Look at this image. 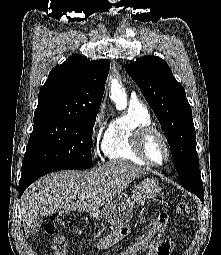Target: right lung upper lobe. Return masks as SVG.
I'll return each mask as SVG.
<instances>
[{"instance_id": "right-lung-upper-lobe-1", "label": "right lung upper lobe", "mask_w": 221, "mask_h": 255, "mask_svg": "<svg viewBox=\"0 0 221 255\" xmlns=\"http://www.w3.org/2000/svg\"><path fill=\"white\" fill-rule=\"evenodd\" d=\"M110 63L80 55L54 67L39 92L34 115L46 113L82 115L99 111Z\"/></svg>"}]
</instances>
